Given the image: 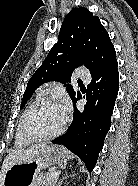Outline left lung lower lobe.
<instances>
[{
	"instance_id": "0a47b994",
	"label": "left lung lower lobe",
	"mask_w": 138,
	"mask_h": 186,
	"mask_svg": "<svg viewBox=\"0 0 138 186\" xmlns=\"http://www.w3.org/2000/svg\"><path fill=\"white\" fill-rule=\"evenodd\" d=\"M91 76L92 81L84 96L87 99L84 111L80 112L76 107V102L82 98L79 93L73 99L74 118L69 131L52 141L76 154L90 172L95 167L111 126V115L118 94L117 60Z\"/></svg>"
}]
</instances>
